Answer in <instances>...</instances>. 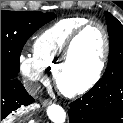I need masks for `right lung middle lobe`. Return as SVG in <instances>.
Here are the masks:
<instances>
[{
  "instance_id": "dd1d6c3e",
  "label": "right lung middle lobe",
  "mask_w": 123,
  "mask_h": 123,
  "mask_svg": "<svg viewBox=\"0 0 123 123\" xmlns=\"http://www.w3.org/2000/svg\"><path fill=\"white\" fill-rule=\"evenodd\" d=\"M55 17L53 13L1 11V78L17 77L20 54L26 41Z\"/></svg>"
}]
</instances>
